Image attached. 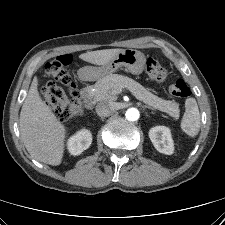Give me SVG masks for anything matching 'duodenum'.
Returning <instances> with one entry per match:
<instances>
[{"mask_svg": "<svg viewBox=\"0 0 225 225\" xmlns=\"http://www.w3.org/2000/svg\"><path fill=\"white\" fill-rule=\"evenodd\" d=\"M81 101L86 108H91L94 104V99L87 92H83L81 95Z\"/></svg>", "mask_w": 225, "mask_h": 225, "instance_id": "1", "label": "duodenum"}]
</instances>
